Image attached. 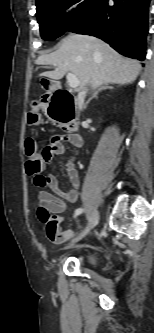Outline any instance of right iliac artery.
Returning <instances> with one entry per match:
<instances>
[{"label":"right iliac artery","instance_id":"obj_1","mask_svg":"<svg viewBox=\"0 0 154 333\" xmlns=\"http://www.w3.org/2000/svg\"><path fill=\"white\" fill-rule=\"evenodd\" d=\"M83 212L82 208H78L76 209L75 213H74V217H77L78 215H80Z\"/></svg>","mask_w":154,"mask_h":333}]
</instances>
